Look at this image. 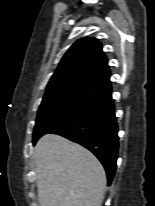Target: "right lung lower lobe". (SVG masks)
<instances>
[{"label": "right lung lower lobe", "instance_id": "right-lung-lower-lobe-1", "mask_svg": "<svg viewBox=\"0 0 155 206\" xmlns=\"http://www.w3.org/2000/svg\"><path fill=\"white\" fill-rule=\"evenodd\" d=\"M48 133L61 135L94 153L106 170L108 185L111 184L116 170L119 139L111 93L92 108Z\"/></svg>", "mask_w": 155, "mask_h": 206}]
</instances>
